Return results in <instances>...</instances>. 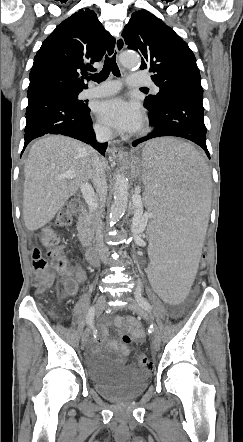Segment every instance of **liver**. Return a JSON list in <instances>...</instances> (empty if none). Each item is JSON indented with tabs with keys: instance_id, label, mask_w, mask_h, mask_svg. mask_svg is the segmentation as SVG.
<instances>
[{
	"instance_id": "liver-1",
	"label": "liver",
	"mask_w": 243,
	"mask_h": 442,
	"mask_svg": "<svg viewBox=\"0 0 243 442\" xmlns=\"http://www.w3.org/2000/svg\"><path fill=\"white\" fill-rule=\"evenodd\" d=\"M96 152L84 143L62 135H47L37 140L25 163L23 218L28 230L48 224L84 183L92 179ZM104 169L107 161L101 159ZM75 171L73 179H58Z\"/></svg>"
}]
</instances>
